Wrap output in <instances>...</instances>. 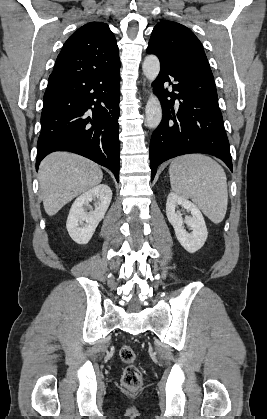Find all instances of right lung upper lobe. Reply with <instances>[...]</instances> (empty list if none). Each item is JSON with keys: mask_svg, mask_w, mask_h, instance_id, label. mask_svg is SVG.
<instances>
[{"mask_svg": "<svg viewBox=\"0 0 267 419\" xmlns=\"http://www.w3.org/2000/svg\"><path fill=\"white\" fill-rule=\"evenodd\" d=\"M120 63L116 39L109 26L90 22L76 30L57 57L54 73L89 72Z\"/></svg>", "mask_w": 267, "mask_h": 419, "instance_id": "obj_1", "label": "right lung upper lobe"}]
</instances>
